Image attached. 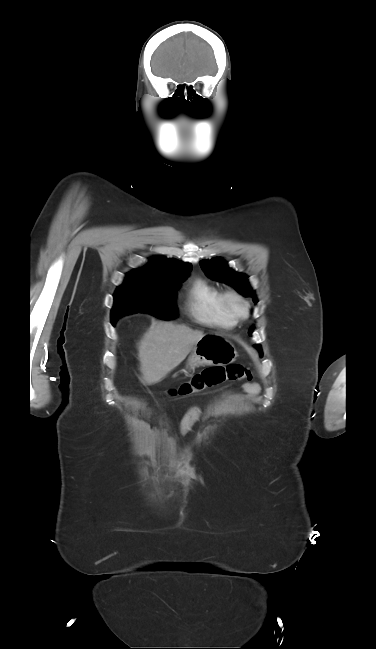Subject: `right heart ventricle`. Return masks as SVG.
<instances>
[{"mask_svg": "<svg viewBox=\"0 0 376 649\" xmlns=\"http://www.w3.org/2000/svg\"><path fill=\"white\" fill-rule=\"evenodd\" d=\"M185 308L192 318L205 325L231 328L237 323L225 307L223 291L203 278L190 283Z\"/></svg>", "mask_w": 376, "mask_h": 649, "instance_id": "obj_1", "label": "right heart ventricle"}]
</instances>
